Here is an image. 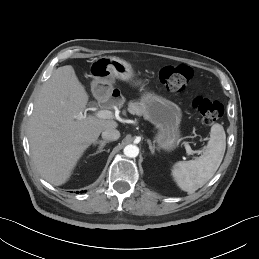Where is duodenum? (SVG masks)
Instances as JSON below:
<instances>
[{
  "instance_id": "duodenum-1",
  "label": "duodenum",
  "mask_w": 259,
  "mask_h": 259,
  "mask_svg": "<svg viewBox=\"0 0 259 259\" xmlns=\"http://www.w3.org/2000/svg\"><path fill=\"white\" fill-rule=\"evenodd\" d=\"M121 99V93L117 90L114 89L109 95L102 97L99 100L100 105H108V104H114L119 102Z\"/></svg>"
}]
</instances>
